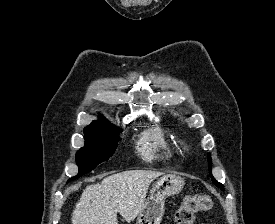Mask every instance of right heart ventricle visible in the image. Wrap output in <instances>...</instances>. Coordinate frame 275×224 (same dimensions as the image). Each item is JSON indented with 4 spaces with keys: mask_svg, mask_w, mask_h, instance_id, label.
I'll use <instances>...</instances> for the list:
<instances>
[{
    "mask_svg": "<svg viewBox=\"0 0 275 224\" xmlns=\"http://www.w3.org/2000/svg\"><path fill=\"white\" fill-rule=\"evenodd\" d=\"M141 157L146 161L170 160L174 146L167 138L163 128L154 124L146 128L140 135L137 146Z\"/></svg>",
    "mask_w": 275,
    "mask_h": 224,
    "instance_id": "e07e8e85",
    "label": "right heart ventricle"
}]
</instances>
